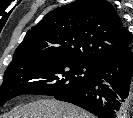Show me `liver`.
<instances>
[{
	"label": "liver",
	"instance_id": "6515ba94",
	"mask_svg": "<svg viewBox=\"0 0 133 118\" xmlns=\"http://www.w3.org/2000/svg\"><path fill=\"white\" fill-rule=\"evenodd\" d=\"M10 118H95L75 105L53 99H41L15 107Z\"/></svg>",
	"mask_w": 133,
	"mask_h": 118
}]
</instances>
